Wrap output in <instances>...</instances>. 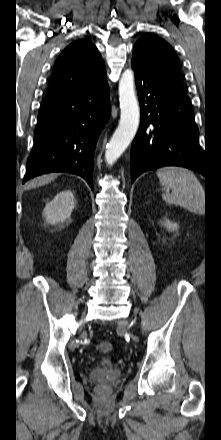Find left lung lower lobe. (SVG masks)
<instances>
[{
	"label": "left lung lower lobe",
	"instance_id": "1",
	"mask_svg": "<svg viewBox=\"0 0 221 440\" xmlns=\"http://www.w3.org/2000/svg\"><path fill=\"white\" fill-rule=\"evenodd\" d=\"M132 69L141 121L131 147V182L163 166L186 167L206 177L193 108L183 87L153 74L136 57H132Z\"/></svg>",
	"mask_w": 221,
	"mask_h": 440
}]
</instances>
